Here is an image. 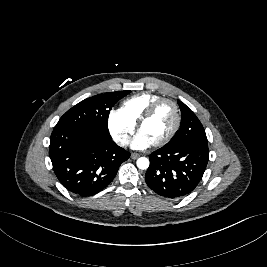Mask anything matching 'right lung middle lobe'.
Segmentation results:
<instances>
[{
    "mask_svg": "<svg viewBox=\"0 0 267 267\" xmlns=\"http://www.w3.org/2000/svg\"><path fill=\"white\" fill-rule=\"evenodd\" d=\"M130 91L108 92L87 98L68 110L56 124V128H100L108 130L111 108Z\"/></svg>",
    "mask_w": 267,
    "mask_h": 267,
    "instance_id": "1",
    "label": "right lung middle lobe"
}]
</instances>
